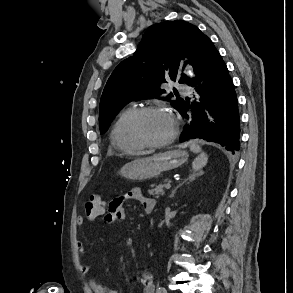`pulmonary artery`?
<instances>
[{"mask_svg": "<svg viewBox=\"0 0 293 293\" xmlns=\"http://www.w3.org/2000/svg\"><path fill=\"white\" fill-rule=\"evenodd\" d=\"M176 87L186 94L190 93V89L184 85L177 84Z\"/></svg>", "mask_w": 293, "mask_h": 293, "instance_id": "pulmonary-artery-1", "label": "pulmonary artery"}]
</instances>
